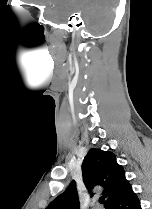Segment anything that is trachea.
I'll list each match as a JSON object with an SVG mask.
<instances>
[{
    "instance_id": "1",
    "label": "trachea",
    "mask_w": 152,
    "mask_h": 209,
    "mask_svg": "<svg viewBox=\"0 0 152 209\" xmlns=\"http://www.w3.org/2000/svg\"><path fill=\"white\" fill-rule=\"evenodd\" d=\"M99 203L103 204L104 203V197L99 198Z\"/></svg>"
}]
</instances>
